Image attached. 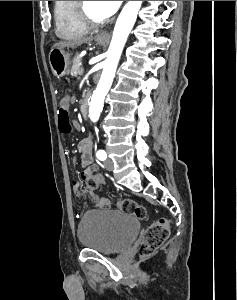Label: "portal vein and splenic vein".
Returning a JSON list of instances; mask_svg holds the SVG:
<instances>
[{"mask_svg":"<svg viewBox=\"0 0 237 300\" xmlns=\"http://www.w3.org/2000/svg\"><path fill=\"white\" fill-rule=\"evenodd\" d=\"M78 71L80 72V73H78V76H81V75H82V73L84 72V71H83V67H81V68H78Z\"/></svg>","mask_w":237,"mask_h":300,"instance_id":"obj_1","label":"portal vein and splenic vein"}]
</instances>
